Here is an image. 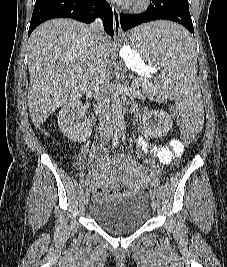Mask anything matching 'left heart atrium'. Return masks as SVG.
I'll list each match as a JSON object with an SVG mask.
<instances>
[{
	"instance_id": "1",
	"label": "left heart atrium",
	"mask_w": 227,
	"mask_h": 267,
	"mask_svg": "<svg viewBox=\"0 0 227 267\" xmlns=\"http://www.w3.org/2000/svg\"><path fill=\"white\" fill-rule=\"evenodd\" d=\"M112 1L123 2V1H125V0H112ZM127 1H130V0H127Z\"/></svg>"
}]
</instances>
